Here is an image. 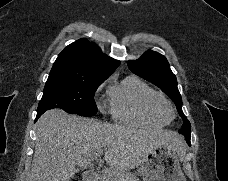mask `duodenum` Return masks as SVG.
Wrapping results in <instances>:
<instances>
[{
	"instance_id": "obj_1",
	"label": "duodenum",
	"mask_w": 228,
	"mask_h": 181,
	"mask_svg": "<svg viewBox=\"0 0 228 181\" xmlns=\"http://www.w3.org/2000/svg\"><path fill=\"white\" fill-rule=\"evenodd\" d=\"M82 179H85V181H97L98 174L96 172H85V174H82Z\"/></svg>"
}]
</instances>
